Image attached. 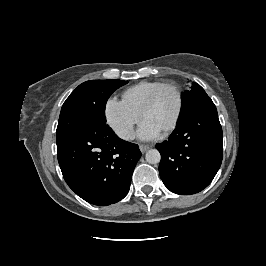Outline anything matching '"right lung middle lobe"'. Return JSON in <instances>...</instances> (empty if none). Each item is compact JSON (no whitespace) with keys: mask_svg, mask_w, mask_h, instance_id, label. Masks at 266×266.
Returning <instances> with one entry per match:
<instances>
[{"mask_svg":"<svg viewBox=\"0 0 266 266\" xmlns=\"http://www.w3.org/2000/svg\"><path fill=\"white\" fill-rule=\"evenodd\" d=\"M126 81L91 80L80 84L64 102L56 130L57 146L96 125H106L105 106Z\"/></svg>","mask_w":266,"mask_h":266,"instance_id":"obj_1","label":"right lung middle lobe"}]
</instances>
